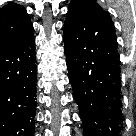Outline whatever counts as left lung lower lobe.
<instances>
[{
	"label": "left lung lower lobe",
	"instance_id": "0a47b994",
	"mask_svg": "<svg viewBox=\"0 0 136 136\" xmlns=\"http://www.w3.org/2000/svg\"><path fill=\"white\" fill-rule=\"evenodd\" d=\"M65 55L85 136H118L121 123L117 41L111 19L67 18Z\"/></svg>",
	"mask_w": 136,
	"mask_h": 136
}]
</instances>
